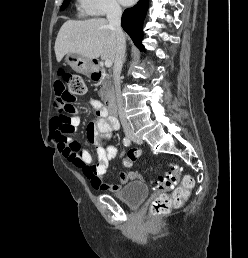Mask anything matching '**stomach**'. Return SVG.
I'll use <instances>...</instances> for the list:
<instances>
[{
    "label": "stomach",
    "instance_id": "obj_1",
    "mask_svg": "<svg viewBox=\"0 0 248 258\" xmlns=\"http://www.w3.org/2000/svg\"><path fill=\"white\" fill-rule=\"evenodd\" d=\"M65 60L77 73L90 76L95 70L93 61L81 55L68 53L65 57Z\"/></svg>",
    "mask_w": 248,
    "mask_h": 258
}]
</instances>
